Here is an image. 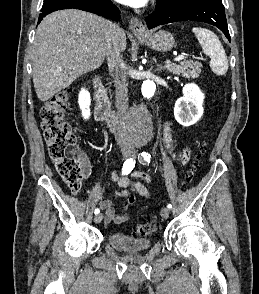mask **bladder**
Instances as JSON below:
<instances>
[{"instance_id":"31cf9c89","label":"bladder","mask_w":259,"mask_h":294,"mask_svg":"<svg viewBox=\"0 0 259 294\" xmlns=\"http://www.w3.org/2000/svg\"><path fill=\"white\" fill-rule=\"evenodd\" d=\"M107 242L115 249L126 252L135 253L146 251L151 247V240L138 237H131L120 232L109 234Z\"/></svg>"}]
</instances>
